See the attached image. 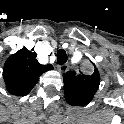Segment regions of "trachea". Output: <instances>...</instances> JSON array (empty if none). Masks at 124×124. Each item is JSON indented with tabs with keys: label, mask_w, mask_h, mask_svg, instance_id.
I'll return each instance as SVG.
<instances>
[{
	"label": "trachea",
	"mask_w": 124,
	"mask_h": 124,
	"mask_svg": "<svg viewBox=\"0 0 124 124\" xmlns=\"http://www.w3.org/2000/svg\"><path fill=\"white\" fill-rule=\"evenodd\" d=\"M67 59H68V56H67L65 50H63V49L58 50V52H57V63L62 65L64 63H66Z\"/></svg>",
	"instance_id": "1"
}]
</instances>
